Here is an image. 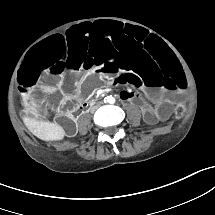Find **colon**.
Returning <instances> with one entry per match:
<instances>
[{
    "mask_svg": "<svg viewBox=\"0 0 215 215\" xmlns=\"http://www.w3.org/2000/svg\"><path fill=\"white\" fill-rule=\"evenodd\" d=\"M184 114V107H179L175 110V118L177 120L181 119Z\"/></svg>",
    "mask_w": 215,
    "mask_h": 215,
    "instance_id": "colon-1",
    "label": "colon"
}]
</instances>
